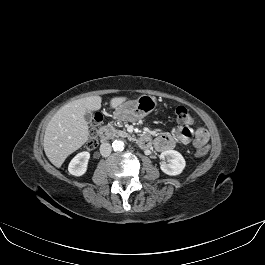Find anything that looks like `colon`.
Wrapping results in <instances>:
<instances>
[{
    "label": "colon",
    "mask_w": 265,
    "mask_h": 265,
    "mask_svg": "<svg viewBox=\"0 0 265 265\" xmlns=\"http://www.w3.org/2000/svg\"><path fill=\"white\" fill-rule=\"evenodd\" d=\"M175 115H176L177 120L182 124L188 125L194 121L193 115L184 106L177 107L175 109ZM100 122H101V116L99 114H96L93 120V124H92V131L87 141V147L89 149H94L98 144V140L96 136V127L99 125ZM205 151H206L205 148L199 149L196 151L195 155L200 157L205 154Z\"/></svg>",
    "instance_id": "obj_1"
}]
</instances>
